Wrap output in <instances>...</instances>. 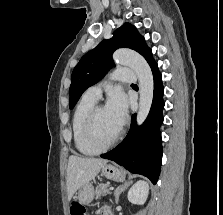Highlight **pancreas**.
<instances>
[{"label": "pancreas", "instance_id": "cf45deb5", "mask_svg": "<svg viewBox=\"0 0 223 215\" xmlns=\"http://www.w3.org/2000/svg\"><path fill=\"white\" fill-rule=\"evenodd\" d=\"M107 187H108L107 183H99V185H97V187L95 189L96 199H99V197H101V195H107V193H110V191H108Z\"/></svg>", "mask_w": 223, "mask_h": 215}]
</instances>
